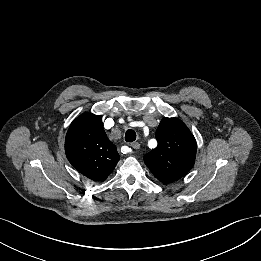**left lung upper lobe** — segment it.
Wrapping results in <instances>:
<instances>
[{
  "instance_id": "1",
  "label": "left lung upper lobe",
  "mask_w": 261,
  "mask_h": 261,
  "mask_svg": "<svg viewBox=\"0 0 261 261\" xmlns=\"http://www.w3.org/2000/svg\"><path fill=\"white\" fill-rule=\"evenodd\" d=\"M158 145L144 156L153 175L169 184L186 175L196 157V141L187 126L177 118L164 117L156 131Z\"/></svg>"
}]
</instances>
